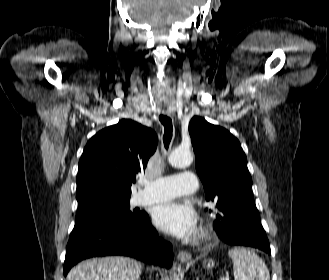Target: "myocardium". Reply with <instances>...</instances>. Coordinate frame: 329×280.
I'll use <instances>...</instances> for the list:
<instances>
[{
    "instance_id": "1",
    "label": "myocardium",
    "mask_w": 329,
    "mask_h": 280,
    "mask_svg": "<svg viewBox=\"0 0 329 280\" xmlns=\"http://www.w3.org/2000/svg\"><path fill=\"white\" fill-rule=\"evenodd\" d=\"M207 237V233L206 232H201L200 235H199V239L200 240H203Z\"/></svg>"
}]
</instances>
